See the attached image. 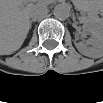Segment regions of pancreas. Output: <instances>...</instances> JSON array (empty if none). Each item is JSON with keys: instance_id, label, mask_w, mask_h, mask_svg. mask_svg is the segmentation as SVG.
<instances>
[{"instance_id": "pancreas-1", "label": "pancreas", "mask_w": 103, "mask_h": 103, "mask_svg": "<svg viewBox=\"0 0 103 103\" xmlns=\"http://www.w3.org/2000/svg\"><path fill=\"white\" fill-rule=\"evenodd\" d=\"M81 19H85V16H84V15H82Z\"/></svg>"}]
</instances>
